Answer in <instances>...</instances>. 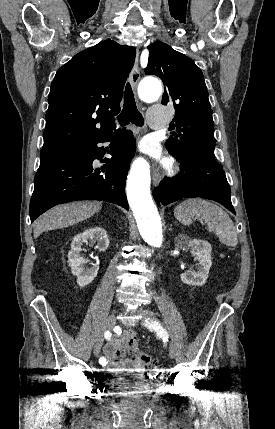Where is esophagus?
Listing matches in <instances>:
<instances>
[{"instance_id": "1", "label": "esophagus", "mask_w": 275, "mask_h": 429, "mask_svg": "<svg viewBox=\"0 0 275 429\" xmlns=\"http://www.w3.org/2000/svg\"><path fill=\"white\" fill-rule=\"evenodd\" d=\"M139 79H140L139 51L137 49L136 58H135L134 66L130 77V82L134 90H136ZM152 176H153V185L158 186L161 181V172L157 166L153 167Z\"/></svg>"}]
</instances>
